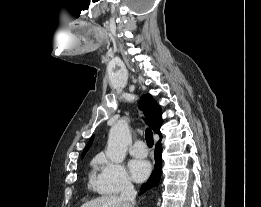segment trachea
<instances>
[{
	"label": "trachea",
	"instance_id": "1",
	"mask_svg": "<svg viewBox=\"0 0 261 207\" xmlns=\"http://www.w3.org/2000/svg\"><path fill=\"white\" fill-rule=\"evenodd\" d=\"M145 138L148 146L151 148L154 145V139H153V133L149 128L146 129Z\"/></svg>",
	"mask_w": 261,
	"mask_h": 207
}]
</instances>
